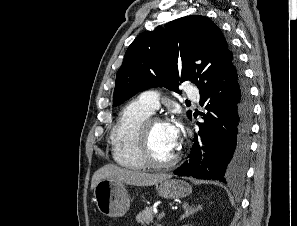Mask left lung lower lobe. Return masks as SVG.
Segmentation results:
<instances>
[{
	"label": "left lung lower lobe",
	"instance_id": "left-lung-lower-lobe-1",
	"mask_svg": "<svg viewBox=\"0 0 297 226\" xmlns=\"http://www.w3.org/2000/svg\"><path fill=\"white\" fill-rule=\"evenodd\" d=\"M199 92L200 105L208 112L202 114L204 123H198L189 159L174 174L240 184L249 157L253 115L243 73L240 69L231 81L206 83Z\"/></svg>",
	"mask_w": 297,
	"mask_h": 226
}]
</instances>
